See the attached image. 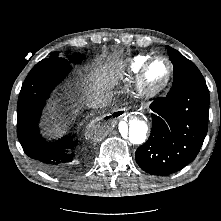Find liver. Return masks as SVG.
<instances>
[{"label":"liver","instance_id":"liver-1","mask_svg":"<svg viewBox=\"0 0 221 221\" xmlns=\"http://www.w3.org/2000/svg\"><path fill=\"white\" fill-rule=\"evenodd\" d=\"M124 65L119 59H115L108 64L99 66L91 70L84 82L78 86V91L81 93V101L84 105L89 106L92 99L102 93H110V90L118 85L119 80L122 78ZM55 116L56 130H60L66 125L64 117L53 110Z\"/></svg>","mask_w":221,"mask_h":221}]
</instances>
